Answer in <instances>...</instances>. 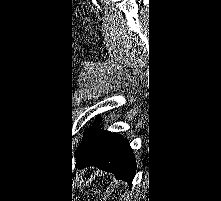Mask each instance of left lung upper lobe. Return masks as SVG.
Instances as JSON below:
<instances>
[{"label":"left lung upper lobe","instance_id":"5c2ea615","mask_svg":"<svg viewBox=\"0 0 221 201\" xmlns=\"http://www.w3.org/2000/svg\"><path fill=\"white\" fill-rule=\"evenodd\" d=\"M97 131H98V128L96 127L95 124H93L91 127L87 129V132L85 133V137L82 139V142L79 144L76 154L79 151H82L84 148H86L93 141L94 137L96 136Z\"/></svg>","mask_w":221,"mask_h":201}]
</instances>
